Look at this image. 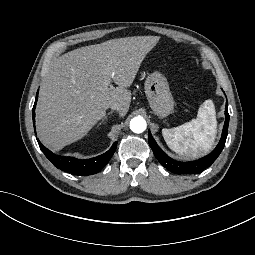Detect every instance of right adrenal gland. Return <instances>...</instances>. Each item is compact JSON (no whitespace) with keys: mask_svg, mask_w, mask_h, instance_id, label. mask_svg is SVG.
Listing matches in <instances>:
<instances>
[{"mask_svg":"<svg viewBox=\"0 0 255 255\" xmlns=\"http://www.w3.org/2000/svg\"><path fill=\"white\" fill-rule=\"evenodd\" d=\"M107 116H110V113H109ZM107 116H106V118L103 120V122H104L105 120H107ZM103 122H101L100 125H102Z\"/></svg>","mask_w":255,"mask_h":255,"instance_id":"obj_1","label":"right adrenal gland"}]
</instances>
